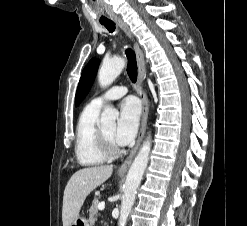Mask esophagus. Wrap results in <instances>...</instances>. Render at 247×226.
Wrapping results in <instances>:
<instances>
[{
	"instance_id": "esophagus-1",
	"label": "esophagus",
	"mask_w": 247,
	"mask_h": 226,
	"mask_svg": "<svg viewBox=\"0 0 247 226\" xmlns=\"http://www.w3.org/2000/svg\"><path fill=\"white\" fill-rule=\"evenodd\" d=\"M117 24L124 30V32L126 33V35L128 37L133 38V35H132L129 27L125 22L118 19ZM134 49H135L136 58H137V65H138V83H139L138 94H139V97H140L141 102H142L141 125H140V131H139V135H138L135 146L133 147L132 151L130 152V154L126 158V160L118 168L119 174H124L127 171V169L129 168L135 154L137 153V151L141 145V142L143 140V137H144V134L146 131L148 111H149L148 98H147L145 90L143 88V84H144V80H145L144 54H143V51L137 42H134Z\"/></svg>"
}]
</instances>
